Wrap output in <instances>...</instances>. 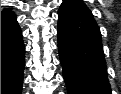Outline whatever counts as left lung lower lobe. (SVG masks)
<instances>
[{
	"mask_svg": "<svg viewBox=\"0 0 121 94\" xmlns=\"http://www.w3.org/2000/svg\"><path fill=\"white\" fill-rule=\"evenodd\" d=\"M58 49L68 94H111L100 29L93 17L58 12Z\"/></svg>",
	"mask_w": 121,
	"mask_h": 94,
	"instance_id": "0a47b994",
	"label": "left lung lower lobe"
}]
</instances>
